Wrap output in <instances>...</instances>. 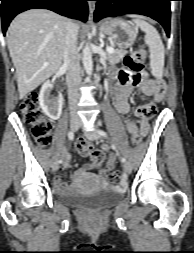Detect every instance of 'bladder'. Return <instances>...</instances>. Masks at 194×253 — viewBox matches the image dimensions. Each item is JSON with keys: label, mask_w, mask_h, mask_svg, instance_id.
Wrapping results in <instances>:
<instances>
[{"label": "bladder", "mask_w": 194, "mask_h": 253, "mask_svg": "<svg viewBox=\"0 0 194 253\" xmlns=\"http://www.w3.org/2000/svg\"><path fill=\"white\" fill-rule=\"evenodd\" d=\"M124 192L116 187L107 186L90 192H70L59 196V200L69 206L88 210H101L120 201Z\"/></svg>", "instance_id": "31cf9c89"}]
</instances>
